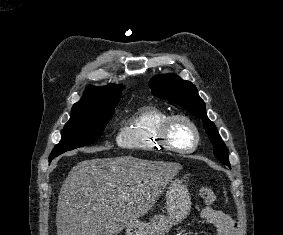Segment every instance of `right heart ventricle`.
<instances>
[{
    "mask_svg": "<svg viewBox=\"0 0 283 235\" xmlns=\"http://www.w3.org/2000/svg\"><path fill=\"white\" fill-rule=\"evenodd\" d=\"M169 112L157 105H145L133 113L121 128L118 142L122 147L155 151L165 149L159 139L158 131Z\"/></svg>",
    "mask_w": 283,
    "mask_h": 235,
    "instance_id": "obj_1",
    "label": "right heart ventricle"
}]
</instances>
